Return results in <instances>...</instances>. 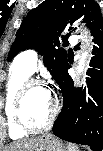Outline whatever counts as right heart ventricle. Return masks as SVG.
<instances>
[{
  "mask_svg": "<svg viewBox=\"0 0 103 151\" xmlns=\"http://www.w3.org/2000/svg\"><path fill=\"white\" fill-rule=\"evenodd\" d=\"M29 76V73L19 67L15 62L13 63L5 90L4 112L9 137L14 140L21 139L28 134L27 132L20 130L14 122L13 102L20 86L28 79Z\"/></svg>",
  "mask_w": 103,
  "mask_h": 151,
  "instance_id": "right-heart-ventricle-1",
  "label": "right heart ventricle"
}]
</instances>
